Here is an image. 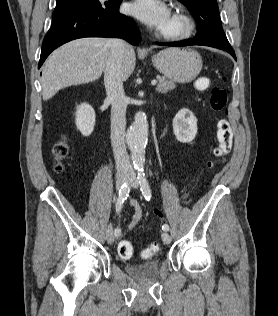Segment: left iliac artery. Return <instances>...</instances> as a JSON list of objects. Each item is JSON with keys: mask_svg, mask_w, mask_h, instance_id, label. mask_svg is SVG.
I'll use <instances>...</instances> for the list:
<instances>
[{"mask_svg": "<svg viewBox=\"0 0 278 316\" xmlns=\"http://www.w3.org/2000/svg\"><path fill=\"white\" fill-rule=\"evenodd\" d=\"M138 181L140 184V190L144 196V198L147 201H150L151 197H152V193H151V189H150V185L145 177V173H144V169L143 168H138ZM162 230L164 231H169V225L168 224H164L162 226Z\"/></svg>", "mask_w": 278, "mask_h": 316, "instance_id": "left-iliac-artery-1", "label": "left iliac artery"}]
</instances>
